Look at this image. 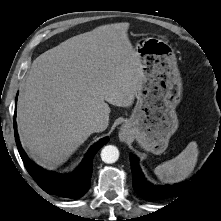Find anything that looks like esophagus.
Segmentation results:
<instances>
[{
  "mask_svg": "<svg viewBox=\"0 0 221 221\" xmlns=\"http://www.w3.org/2000/svg\"><path fill=\"white\" fill-rule=\"evenodd\" d=\"M129 136L128 130L126 128H121L119 131V139L120 141H126Z\"/></svg>",
  "mask_w": 221,
  "mask_h": 221,
  "instance_id": "1",
  "label": "esophagus"
}]
</instances>
